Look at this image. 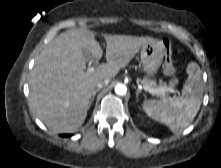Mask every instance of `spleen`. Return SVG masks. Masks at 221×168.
Instances as JSON below:
<instances>
[{"label": "spleen", "instance_id": "spleen-1", "mask_svg": "<svg viewBox=\"0 0 221 168\" xmlns=\"http://www.w3.org/2000/svg\"><path fill=\"white\" fill-rule=\"evenodd\" d=\"M188 78L182 96L162 100H147L143 109L153 120L165 124L173 133L187 128L199 111L203 97L201 69L196 62L187 66Z\"/></svg>", "mask_w": 221, "mask_h": 168}]
</instances>
